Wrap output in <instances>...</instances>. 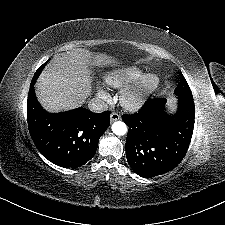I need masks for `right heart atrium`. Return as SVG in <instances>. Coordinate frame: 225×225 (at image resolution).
I'll list each match as a JSON object with an SVG mask.
<instances>
[{
	"mask_svg": "<svg viewBox=\"0 0 225 225\" xmlns=\"http://www.w3.org/2000/svg\"><path fill=\"white\" fill-rule=\"evenodd\" d=\"M103 93V91L102 90H100V94H102Z\"/></svg>",
	"mask_w": 225,
	"mask_h": 225,
	"instance_id": "d8ad5b80",
	"label": "right heart atrium"
}]
</instances>
